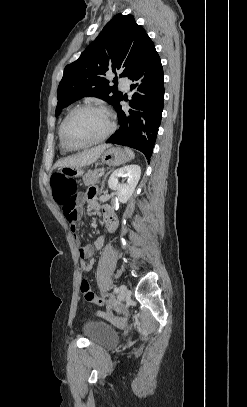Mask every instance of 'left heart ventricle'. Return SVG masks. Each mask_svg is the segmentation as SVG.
I'll use <instances>...</instances> for the list:
<instances>
[{
    "instance_id": "left-heart-ventricle-1",
    "label": "left heart ventricle",
    "mask_w": 247,
    "mask_h": 407,
    "mask_svg": "<svg viewBox=\"0 0 247 407\" xmlns=\"http://www.w3.org/2000/svg\"><path fill=\"white\" fill-rule=\"evenodd\" d=\"M109 123L106 116L97 110L85 109L75 113L66 125L65 135L73 145H82L104 135Z\"/></svg>"
}]
</instances>
